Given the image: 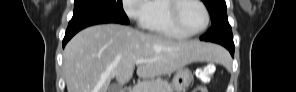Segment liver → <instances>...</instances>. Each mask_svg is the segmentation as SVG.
<instances>
[{
  "mask_svg": "<svg viewBox=\"0 0 296 92\" xmlns=\"http://www.w3.org/2000/svg\"><path fill=\"white\" fill-rule=\"evenodd\" d=\"M222 50L200 41H173L119 24L88 27L76 34L63 53L68 92H108L111 79L121 85L137 75L143 79L170 74L197 61H217Z\"/></svg>",
  "mask_w": 296,
  "mask_h": 92,
  "instance_id": "obj_1",
  "label": "liver"
}]
</instances>
